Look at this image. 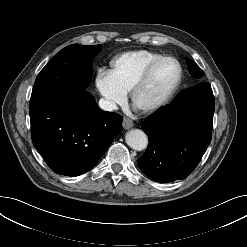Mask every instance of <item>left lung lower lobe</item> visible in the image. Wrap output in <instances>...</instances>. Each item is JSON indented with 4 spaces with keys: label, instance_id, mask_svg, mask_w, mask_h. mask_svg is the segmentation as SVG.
<instances>
[{
    "label": "left lung lower lobe",
    "instance_id": "1",
    "mask_svg": "<svg viewBox=\"0 0 247 247\" xmlns=\"http://www.w3.org/2000/svg\"><path fill=\"white\" fill-rule=\"evenodd\" d=\"M215 100L209 83L179 94L142 123L149 144L137 159L140 170L157 182L186 178L211 142Z\"/></svg>",
    "mask_w": 247,
    "mask_h": 247
}]
</instances>
